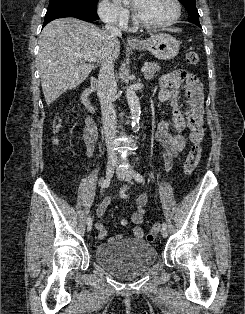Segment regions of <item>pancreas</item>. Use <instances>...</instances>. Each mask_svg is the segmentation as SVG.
Returning a JSON list of instances; mask_svg holds the SVG:
<instances>
[{
  "label": "pancreas",
  "instance_id": "pancreas-1",
  "mask_svg": "<svg viewBox=\"0 0 245 314\" xmlns=\"http://www.w3.org/2000/svg\"><path fill=\"white\" fill-rule=\"evenodd\" d=\"M144 67H146V71L144 72V77L146 79H152L156 77L160 70V66L157 63H146Z\"/></svg>",
  "mask_w": 245,
  "mask_h": 314
}]
</instances>
